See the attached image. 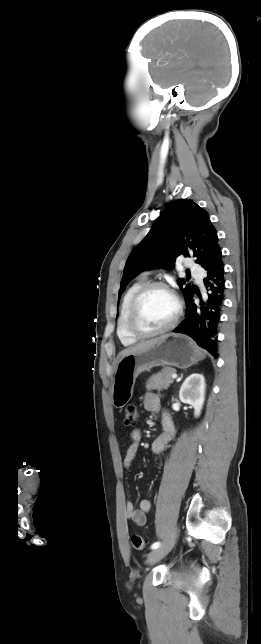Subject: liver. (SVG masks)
<instances>
[{
    "label": "liver",
    "instance_id": "obj_1",
    "mask_svg": "<svg viewBox=\"0 0 261 644\" xmlns=\"http://www.w3.org/2000/svg\"><path fill=\"white\" fill-rule=\"evenodd\" d=\"M165 338H166V335L161 336L159 338L151 339V340L139 343V344H137L135 346H132L130 348H127V349H125V350H123L121 352V359L123 357H125L126 355H129V354H132V353H135V352H138V351L146 350V349L150 348L151 346H153L154 344H156L157 342H159V341H161V340H163Z\"/></svg>",
    "mask_w": 261,
    "mask_h": 644
}]
</instances>
